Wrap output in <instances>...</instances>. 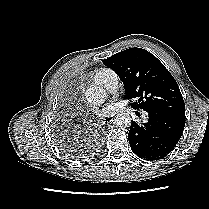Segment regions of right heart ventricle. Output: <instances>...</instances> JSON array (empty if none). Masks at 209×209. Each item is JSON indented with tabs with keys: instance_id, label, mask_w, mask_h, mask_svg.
Wrapping results in <instances>:
<instances>
[{
	"instance_id": "obj_1",
	"label": "right heart ventricle",
	"mask_w": 209,
	"mask_h": 209,
	"mask_svg": "<svg viewBox=\"0 0 209 209\" xmlns=\"http://www.w3.org/2000/svg\"><path fill=\"white\" fill-rule=\"evenodd\" d=\"M107 69H100L96 72L95 77L103 74Z\"/></svg>"
}]
</instances>
